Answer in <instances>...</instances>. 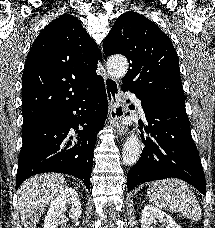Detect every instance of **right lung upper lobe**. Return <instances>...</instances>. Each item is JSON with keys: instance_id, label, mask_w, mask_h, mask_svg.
<instances>
[{"instance_id": "right-lung-upper-lobe-1", "label": "right lung upper lobe", "mask_w": 215, "mask_h": 228, "mask_svg": "<svg viewBox=\"0 0 215 228\" xmlns=\"http://www.w3.org/2000/svg\"><path fill=\"white\" fill-rule=\"evenodd\" d=\"M101 51L80 21L63 14L35 39L22 76L23 124L36 123L70 103L98 75Z\"/></svg>"}]
</instances>
